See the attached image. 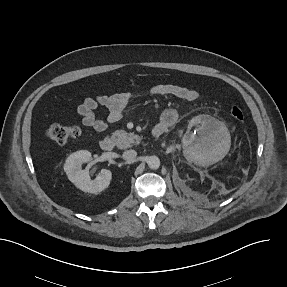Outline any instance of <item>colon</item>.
Here are the masks:
<instances>
[{
  "label": "colon",
  "mask_w": 287,
  "mask_h": 287,
  "mask_svg": "<svg viewBox=\"0 0 287 287\" xmlns=\"http://www.w3.org/2000/svg\"><path fill=\"white\" fill-rule=\"evenodd\" d=\"M230 115L237 121H243L245 112L239 102H234L230 106ZM45 135L48 139L59 145H65L76 140L80 136V129L74 125L51 124L46 128Z\"/></svg>",
  "instance_id": "colon-1"
}]
</instances>
